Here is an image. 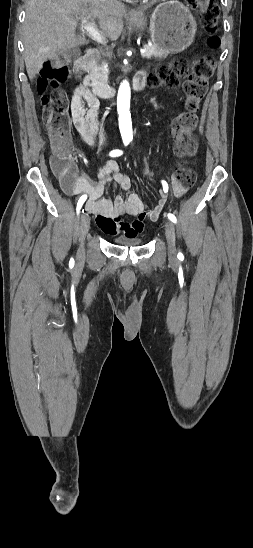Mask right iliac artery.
Wrapping results in <instances>:
<instances>
[{
	"instance_id": "obj_1",
	"label": "right iliac artery",
	"mask_w": 253,
	"mask_h": 548,
	"mask_svg": "<svg viewBox=\"0 0 253 548\" xmlns=\"http://www.w3.org/2000/svg\"><path fill=\"white\" fill-rule=\"evenodd\" d=\"M125 145L128 144V142H124ZM123 152L121 150H113L110 152V156L111 157H116V156H120ZM87 199V196L86 195H83L80 197V199L78 200V203H77V214L80 212V209L82 207V205L84 204V202L86 201ZM84 212V210H83Z\"/></svg>"
}]
</instances>
